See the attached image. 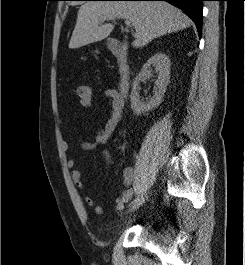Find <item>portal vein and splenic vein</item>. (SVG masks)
Masks as SVG:
<instances>
[{"mask_svg":"<svg viewBox=\"0 0 245 265\" xmlns=\"http://www.w3.org/2000/svg\"><path fill=\"white\" fill-rule=\"evenodd\" d=\"M116 19V16H104V17H101V20H114ZM125 25L130 28L131 27V22L129 20H125ZM135 36V35H134Z\"/></svg>","mask_w":245,"mask_h":265,"instance_id":"1","label":"portal vein and splenic vein"}]
</instances>
